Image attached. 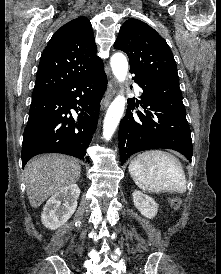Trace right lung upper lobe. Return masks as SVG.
Instances as JSON below:
<instances>
[{"label": "right lung upper lobe", "mask_w": 221, "mask_h": 274, "mask_svg": "<svg viewBox=\"0 0 221 274\" xmlns=\"http://www.w3.org/2000/svg\"><path fill=\"white\" fill-rule=\"evenodd\" d=\"M96 51L88 18L80 16L63 25L42 53L32 97L54 91L103 68Z\"/></svg>", "instance_id": "obj_1"}]
</instances>
